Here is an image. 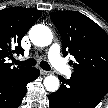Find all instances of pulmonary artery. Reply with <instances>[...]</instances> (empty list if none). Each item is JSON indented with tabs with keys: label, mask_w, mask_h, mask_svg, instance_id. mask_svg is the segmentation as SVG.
<instances>
[{
	"label": "pulmonary artery",
	"mask_w": 108,
	"mask_h": 108,
	"mask_svg": "<svg viewBox=\"0 0 108 108\" xmlns=\"http://www.w3.org/2000/svg\"><path fill=\"white\" fill-rule=\"evenodd\" d=\"M48 57L51 64L62 74L70 76L72 74V70L68 67L66 62L60 56V46L57 43H54L49 51Z\"/></svg>",
	"instance_id": "1"
}]
</instances>
